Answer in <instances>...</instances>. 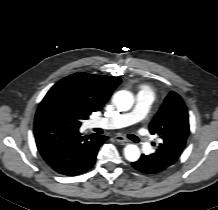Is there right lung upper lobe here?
<instances>
[{
  "label": "right lung upper lobe",
  "mask_w": 218,
  "mask_h": 210,
  "mask_svg": "<svg viewBox=\"0 0 218 210\" xmlns=\"http://www.w3.org/2000/svg\"><path fill=\"white\" fill-rule=\"evenodd\" d=\"M120 83L118 77L80 72L61 79L52 88L66 94L90 115L103 108Z\"/></svg>",
  "instance_id": "1"
}]
</instances>
